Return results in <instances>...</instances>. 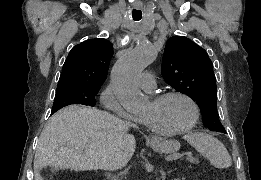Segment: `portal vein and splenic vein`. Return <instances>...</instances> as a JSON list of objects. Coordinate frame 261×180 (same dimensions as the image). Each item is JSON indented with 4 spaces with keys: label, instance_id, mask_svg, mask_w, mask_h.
Masks as SVG:
<instances>
[{
    "label": "portal vein and splenic vein",
    "instance_id": "18ae733b",
    "mask_svg": "<svg viewBox=\"0 0 261 180\" xmlns=\"http://www.w3.org/2000/svg\"><path fill=\"white\" fill-rule=\"evenodd\" d=\"M185 156V154H179ZM185 161H194V154L193 153H188L187 156L184 157Z\"/></svg>",
    "mask_w": 261,
    "mask_h": 180
}]
</instances>
